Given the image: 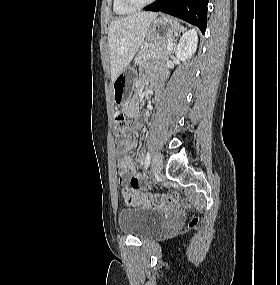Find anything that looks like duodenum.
Listing matches in <instances>:
<instances>
[{"label":"duodenum","instance_id":"duodenum-1","mask_svg":"<svg viewBox=\"0 0 280 285\" xmlns=\"http://www.w3.org/2000/svg\"><path fill=\"white\" fill-rule=\"evenodd\" d=\"M155 93H156V95L159 94V88L158 87H155Z\"/></svg>","mask_w":280,"mask_h":285}]
</instances>
